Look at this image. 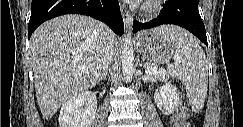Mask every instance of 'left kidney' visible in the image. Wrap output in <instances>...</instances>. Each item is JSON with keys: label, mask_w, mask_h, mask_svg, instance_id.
<instances>
[{"label": "left kidney", "mask_w": 243, "mask_h": 127, "mask_svg": "<svg viewBox=\"0 0 243 127\" xmlns=\"http://www.w3.org/2000/svg\"><path fill=\"white\" fill-rule=\"evenodd\" d=\"M154 100L157 107L165 115L172 114L180 104L177 88L172 84H165L156 90Z\"/></svg>", "instance_id": "obj_1"}]
</instances>
